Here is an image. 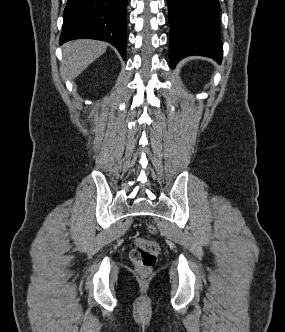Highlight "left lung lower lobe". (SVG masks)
<instances>
[{"label":"left lung lower lobe","mask_w":285,"mask_h":332,"mask_svg":"<svg viewBox=\"0 0 285 332\" xmlns=\"http://www.w3.org/2000/svg\"><path fill=\"white\" fill-rule=\"evenodd\" d=\"M170 23V63L189 55L221 63L219 0H167Z\"/></svg>","instance_id":"obj_1"}]
</instances>
